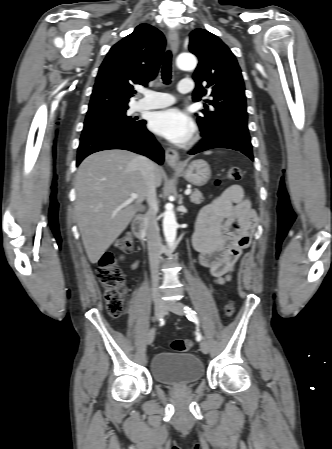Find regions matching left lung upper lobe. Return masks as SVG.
I'll use <instances>...</instances> for the list:
<instances>
[{
	"label": "left lung upper lobe",
	"instance_id": "1",
	"mask_svg": "<svg viewBox=\"0 0 332 449\" xmlns=\"http://www.w3.org/2000/svg\"><path fill=\"white\" fill-rule=\"evenodd\" d=\"M189 50L199 59L193 75V100L199 101L205 95L213 97L208 101L213 109L205 107L197 117L201 135L230 124L247 125L245 87L234 54L219 37L203 29L190 33Z\"/></svg>",
	"mask_w": 332,
	"mask_h": 449
}]
</instances>
